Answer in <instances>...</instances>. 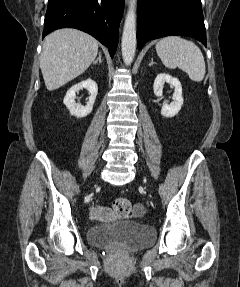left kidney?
Masks as SVG:
<instances>
[{
    "label": "left kidney",
    "instance_id": "1",
    "mask_svg": "<svg viewBox=\"0 0 240 287\" xmlns=\"http://www.w3.org/2000/svg\"><path fill=\"white\" fill-rule=\"evenodd\" d=\"M165 83H169L174 87V93L173 101L170 104H168L167 101H164L161 109V115L163 117L172 118L178 114L183 105L184 100L182 97V86L177 78L172 77L167 73H160L157 75L153 85L155 96H162L163 86Z\"/></svg>",
    "mask_w": 240,
    "mask_h": 287
}]
</instances>
